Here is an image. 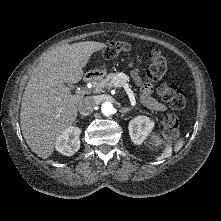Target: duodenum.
<instances>
[{
    "mask_svg": "<svg viewBox=\"0 0 221 221\" xmlns=\"http://www.w3.org/2000/svg\"><path fill=\"white\" fill-rule=\"evenodd\" d=\"M98 77H99V73L97 72L87 73L83 78V82L84 84H88V83L93 82Z\"/></svg>",
    "mask_w": 221,
    "mask_h": 221,
    "instance_id": "1",
    "label": "duodenum"
}]
</instances>
